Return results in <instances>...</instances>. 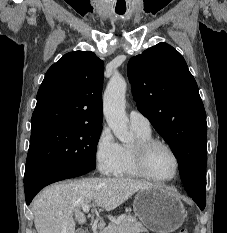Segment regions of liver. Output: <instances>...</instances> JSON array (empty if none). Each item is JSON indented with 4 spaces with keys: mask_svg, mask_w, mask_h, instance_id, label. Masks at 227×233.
Returning a JSON list of instances; mask_svg holds the SVG:
<instances>
[{
    "mask_svg": "<svg viewBox=\"0 0 227 233\" xmlns=\"http://www.w3.org/2000/svg\"><path fill=\"white\" fill-rule=\"evenodd\" d=\"M150 187L154 185L128 178H87L51 185L33 200L35 228L37 233H76L75 220L86 222L80 210L84 205L93 202V207L111 211Z\"/></svg>",
    "mask_w": 227,
    "mask_h": 233,
    "instance_id": "1",
    "label": "liver"
}]
</instances>
